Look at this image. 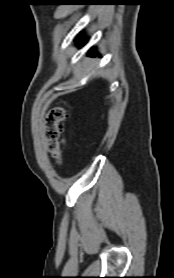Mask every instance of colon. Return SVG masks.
<instances>
[{
  "mask_svg": "<svg viewBox=\"0 0 174 278\" xmlns=\"http://www.w3.org/2000/svg\"><path fill=\"white\" fill-rule=\"evenodd\" d=\"M66 112L63 107L52 108L45 119L44 135L50 154L57 160L62 158V131Z\"/></svg>",
  "mask_w": 174,
  "mask_h": 278,
  "instance_id": "5ec220e1",
  "label": "colon"
}]
</instances>
